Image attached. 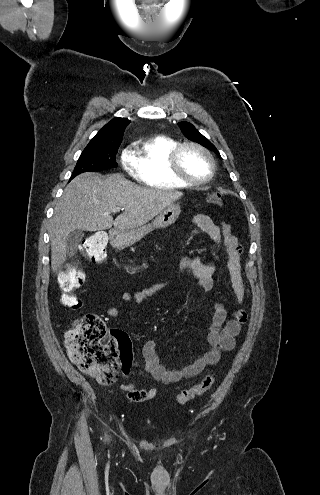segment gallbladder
I'll return each mask as SVG.
<instances>
[{
	"instance_id": "bac80fb5",
	"label": "gallbladder",
	"mask_w": 320,
	"mask_h": 495,
	"mask_svg": "<svg viewBox=\"0 0 320 495\" xmlns=\"http://www.w3.org/2000/svg\"><path fill=\"white\" fill-rule=\"evenodd\" d=\"M83 237H84V233L82 230L77 229L70 232V234L66 239L67 254L69 256L75 255L77 251V245L81 242Z\"/></svg>"
}]
</instances>
